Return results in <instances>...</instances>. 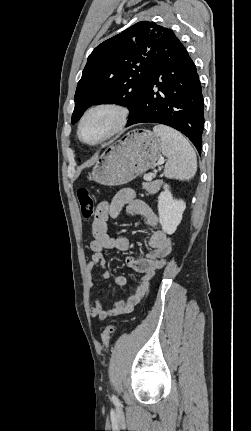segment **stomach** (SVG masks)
I'll return each mask as SVG.
<instances>
[{
    "label": "stomach",
    "instance_id": "0dacf381",
    "mask_svg": "<svg viewBox=\"0 0 251 431\" xmlns=\"http://www.w3.org/2000/svg\"><path fill=\"white\" fill-rule=\"evenodd\" d=\"M161 149V139L155 133L132 130L101 154L88 178L107 186L126 184L153 167Z\"/></svg>",
    "mask_w": 251,
    "mask_h": 431
}]
</instances>
